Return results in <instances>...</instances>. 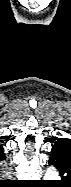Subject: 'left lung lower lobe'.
Returning <instances> with one entry per match:
<instances>
[{"label": "left lung lower lobe", "mask_w": 71, "mask_h": 187, "mask_svg": "<svg viewBox=\"0 0 71 187\" xmlns=\"http://www.w3.org/2000/svg\"><path fill=\"white\" fill-rule=\"evenodd\" d=\"M49 164L59 171L62 177L61 182H67L71 178V150L69 148L53 145Z\"/></svg>", "instance_id": "left-lung-lower-lobe-1"}]
</instances>
